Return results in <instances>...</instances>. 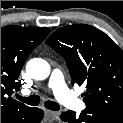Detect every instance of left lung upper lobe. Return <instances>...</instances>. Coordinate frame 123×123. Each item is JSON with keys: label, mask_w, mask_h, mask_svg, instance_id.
I'll list each match as a JSON object with an SVG mask.
<instances>
[{"label": "left lung upper lobe", "mask_w": 123, "mask_h": 123, "mask_svg": "<svg viewBox=\"0 0 123 123\" xmlns=\"http://www.w3.org/2000/svg\"><path fill=\"white\" fill-rule=\"evenodd\" d=\"M46 44L65 59L72 84L86 86L87 107L123 115V51L111 38L78 24L58 29Z\"/></svg>", "instance_id": "5c2ea615"}]
</instances>
